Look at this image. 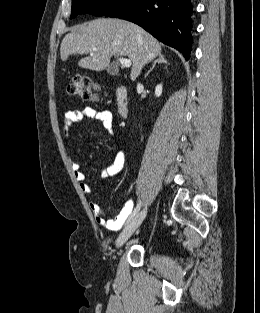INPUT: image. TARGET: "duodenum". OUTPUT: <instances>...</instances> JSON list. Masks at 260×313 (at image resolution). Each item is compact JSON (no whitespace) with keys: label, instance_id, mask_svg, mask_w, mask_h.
Instances as JSON below:
<instances>
[{"label":"duodenum","instance_id":"410a0bca","mask_svg":"<svg viewBox=\"0 0 260 313\" xmlns=\"http://www.w3.org/2000/svg\"><path fill=\"white\" fill-rule=\"evenodd\" d=\"M117 110L121 117L125 118L129 114L128 92L126 86L119 84L115 90Z\"/></svg>","mask_w":260,"mask_h":313}]
</instances>
